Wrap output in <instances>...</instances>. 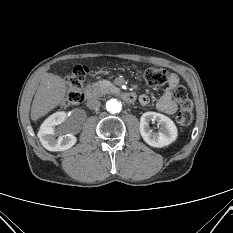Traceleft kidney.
Returning <instances> with one entry per match:
<instances>
[{
    "instance_id": "1",
    "label": "left kidney",
    "mask_w": 233,
    "mask_h": 233,
    "mask_svg": "<svg viewBox=\"0 0 233 233\" xmlns=\"http://www.w3.org/2000/svg\"><path fill=\"white\" fill-rule=\"evenodd\" d=\"M150 121L158 123L160 126L158 132L151 129ZM140 134L148 145L161 148L174 142L178 131L175 123L169 117L150 111L144 113L140 118Z\"/></svg>"
}]
</instances>
